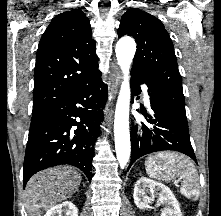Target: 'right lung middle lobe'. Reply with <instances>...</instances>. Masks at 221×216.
<instances>
[{
	"label": "right lung middle lobe",
	"mask_w": 221,
	"mask_h": 216,
	"mask_svg": "<svg viewBox=\"0 0 221 216\" xmlns=\"http://www.w3.org/2000/svg\"><path fill=\"white\" fill-rule=\"evenodd\" d=\"M40 115L41 114L32 115L30 129H32L36 125V123L40 120Z\"/></svg>",
	"instance_id": "right-lung-middle-lobe-1"
}]
</instances>
